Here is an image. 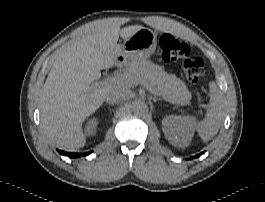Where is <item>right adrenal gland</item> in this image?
I'll return each mask as SVG.
<instances>
[{
  "instance_id": "obj_1",
  "label": "right adrenal gland",
  "mask_w": 265,
  "mask_h": 202,
  "mask_svg": "<svg viewBox=\"0 0 265 202\" xmlns=\"http://www.w3.org/2000/svg\"><path fill=\"white\" fill-rule=\"evenodd\" d=\"M106 104L109 105V106H113V105H114V104H112V103H108V102H106Z\"/></svg>"
}]
</instances>
